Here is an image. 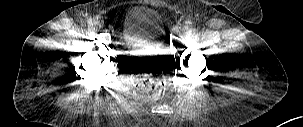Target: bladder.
Returning a JSON list of instances; mask_svg holds the SVG:
<instances>
[{"label":"bladder","instance_id":"31cf9c89","mask_svg":"<svg viewBox=\"0 0 303 127\" xmlns=\"http://www.w3.org/2000/svg\"><path fill=\"white\" fill-rule=\"evenodd\" d=\"M119 32L121 38L127 42L161 43L164 37L163 20L153 9L132 6L124 14Z\"/></svg>","mask_w":303,"mask_h":127}]
</instances>
